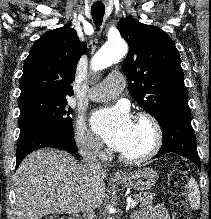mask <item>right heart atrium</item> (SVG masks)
Instances as JSON below:
<instances>
[{
    "instance_id": "right-heart-atrium-1",
    "label": "right heart atrium",
    "mask_w": 211,
    "mask_h": 219,
    "mask_svg": "<svg viewBox=\"0 0 211 219\" xmlns=\"http://www.w3.org/2000/svg\"><path fill=\"white\" fill-rule=\"evenodd\" d=\"M74 141L80 152L88 157L102 158L106 151L101 141L86 127L83 121L78 120L74 130Z\"/></svg>"
}]
</instances>
